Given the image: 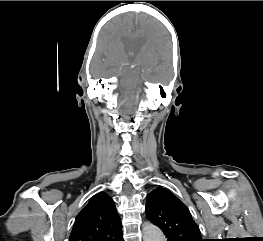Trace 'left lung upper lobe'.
<instances>
[{"label":"left lung upper lobe","instance_id":"1","mask_svg":"<svg viewBox=\"0 0 263 241\" xmlns=\"http://www.w3.org/2000/svg\"><path fill=\"white\" fill-rule=\"evenodd\" d=\"M145 211L170 241H204L189 209L169 190L154 189L147 197Z\"/></svg>","mask_w":263,"mask_h":241}]
</instances>
